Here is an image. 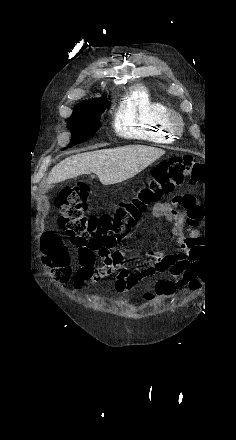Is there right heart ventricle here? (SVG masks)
<instances>
[{
    "label": "right heart ventricle",
    "mask_w": 236,
    "mask_h": 440,
    "mask_svg": "<svg viewBox=\"0 0 236 440\" xmlns=\"http://www.w3.org/2000/svg\"><path fill=\"white\" fill-rule=\"evenodd\" d=\"M168 112V106L147 89L135 87L120 102L113 126L121 137L152 144L170 143L174 132L166 121Z\"/></svg>",
    "instance_id": "right-heart-ventricle-1"
}]
</instances>
